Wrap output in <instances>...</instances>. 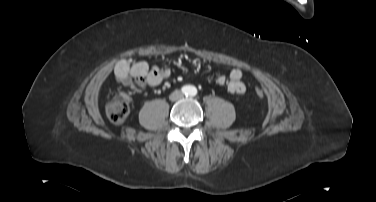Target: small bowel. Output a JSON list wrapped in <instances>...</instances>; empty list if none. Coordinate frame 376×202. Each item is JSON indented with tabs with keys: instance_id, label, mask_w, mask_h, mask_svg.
Listing matches in <instances>:
<instances>
[{
	"instance_id": "small-bowel-1",
	"label": "small bowel",
	"mask_w": 376,
	"mask_h": 202,
	"mask_svg": "<svg viewBox=\"0 0 376 202\" xmlns=\"http://www.w3.org/2000/svg\"><path fill=\"white\" fill-rule=\"evenodd\" d=\"M217 64L228 65L227 61L217 60ZM170 75L168 69L159 66H150L145 61L134 62L130 59L119 60L114 67L115 80L140 93L146 87H156ZM243 72L238 66L233 67L228 75H217L212 82L226 86L229 91L243 94L246 91L242 82Z\"/></svg>"
}]
</instances>
